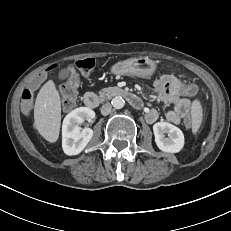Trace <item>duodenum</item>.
<instances>
[{
	"label": "duodenum",
	"instance_id": "obj_1",
	"mask_svg": "<svg viewBox=\"0 0 231 231\" xmlns=\"http://www.w3.org/2000/svg\"><path fill=\"white\" fill-rule=\"evenodd\" d=\"M105 97H123L134 108L141 109L143 107L142 99L128 89L121 87H109L104 91ZM84 104L91 109L96 108L100 103V98L94 92H87L83 97Z\"/></svg>",
	"mask_w": 231,
	"mask_h": 231
}]
</instances>
